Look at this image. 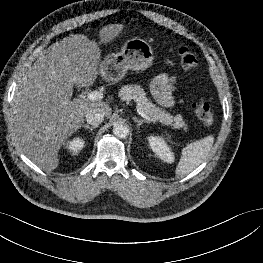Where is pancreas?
Returning <instances> with one entry per match:
<instances>
[{"label": "pancreas", "instance_id": "cf45deb5", "mask_svg": "<svg viewBox=\"0 0 263 263\" xmlns=\"http://www.w3.org/2000/svg\"><path fill=\"white\" fill-rule=\"evenodd\" d=\"M119 97L123 101H136L138 107L148 114L153 121H158L165 126L175 129L183 128L184 131L188 129L180 114L173 116L162 108L157 107L146 97V93L139 85H125L121 87Z\"/></svg>", "mask_w": 263, "mask_h": 263}]
</instances>
